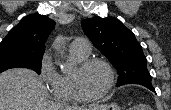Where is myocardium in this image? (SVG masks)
<instances>
[{
	"instance_id": "f54148a6",
	"label": "myocardium",
	"mask_w": 171,
	"mask_h": 110,
	"mask_svg": "<svg viewBox=\"0 0 171 110\" xmlns=\"http://www.w3.org/2000/svg\"><path fill=\"white\" fill-rule=\"evenodd\" d=\"M95 64L102 65L106 68L109 74V82L103 92H101L98 95L90 96L86 94L81 88L80 75L84 71H86L89 67ZM114 84H115L114 68L108 61L104 59H100V58H90V59H86L82 61L81 63L78 64L74 72L71 74V88H72L73 94L78 101L84 102V103H91V102H95V101L103 99L112 91Z\"/></svg>"
}]
</instances>
